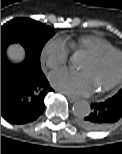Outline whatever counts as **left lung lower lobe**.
<instances>
[{"instance_id": "obj_1", "label": "left lung lower lobe", "mask_w": 122, "mask_h": 154, "mask_svg": "<svg viewBox=\"0 0 122 154\" xmlns=\"http://www.w3.org/2000/svg\"><path fill=\"white\" fill-rule=\"evenodd\" d=\"M122 118V96L113 97L104 102L91 104L90 113L81 117L79 125L89 131L108 129Z\"/></svg>"}]
</instances>
